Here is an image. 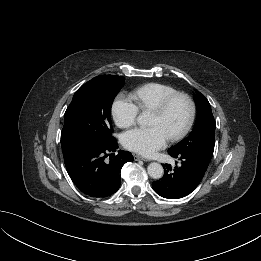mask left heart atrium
Segmentation results:
<instances>
[{"label":"left heart atrium","mask_w":261,"mask_h":261,"mask_svg":"<svg viewBox=\"0 0 261 261\" xmlns=\"http://www.w3.org/2000/svg\"><path fill=\"white\" fill-rule=\"evenodd\" d=\"M169 136L160 126L135 128L127 131L123 137V145L133 152L144 156H151L162 149Z\"/></svg>","instance_id":"left-heart-atrium-1"}]
</instances>
